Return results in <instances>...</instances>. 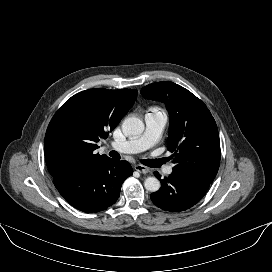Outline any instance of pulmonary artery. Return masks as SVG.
Wrapping results in <instances>:
<instances>
[{"instance_id":"obj_1","label":"pulmonary artery","mask_w":272,"mask_h":272,"mask_svg":"<svg viewBox=\"0 0 272 272\" xmlns=\"http://www.w3.org/2000/svg\"><path fill=\"white\" fill-rule=\"evenodd\" d=\"M168 116L161 109H153L145 115V131L134 138L123 142H114L112 146L123 153H138L153 146L161 137L167 124ZM172 168L166 170L167 174L172 173Z\"/></svg>"}]
</instances>
